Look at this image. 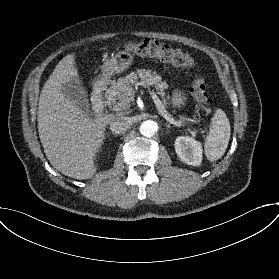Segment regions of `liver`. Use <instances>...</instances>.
Returning a JSON list of instances; mask_svg holds the SVG:
<instances>
[{
  "mask_svg": "<svg viewBox=\"0 0 279 279\" xmlns=\"http://www.w3.org/2000/svg\"><path fill=\"white\" fill-rule=\"evenodd\" d=\"M77 78L75 56L66 55L41 90L37 121L39 138L51 165L66 176L83 180L96 173L94 157L114 115L89 119L75 102L69 100L62 92L63 85Z\"/></svg>",
  "mask_w": 279,
  "mask_h": 279,
  "instance_id": "obj_1",
  "label": "liver"
}]
</instances>
